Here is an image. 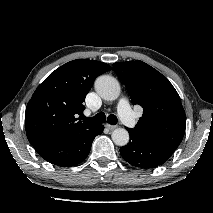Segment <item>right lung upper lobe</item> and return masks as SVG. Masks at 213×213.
Returning a JSON list of instances; mask_svg holds the SVG:
<instances>
[{"mask_svg":"<svg viewBox=\"0 0 213 213\" xmlns=\"http://www.w3.org/2000/svg\"><path fill=\"white\" fill-rule=\"evenodd\" d=\"M112 68L96 60L77 59L52 72L35 90L25 113L26 135L32 145L71 141L96 123L78 121L94 80Z\"/></svg>","mask_w":213,"mask_h":213,"instance_id":"cb5924a9","label":"right lung upper lobe"}]
</instances>
